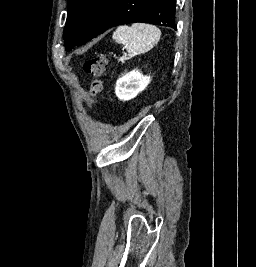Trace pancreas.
Segmentation results:
<instances>
[{"instance_id": "obj_1", "label": "pancreas", "mask_w": 256, "mask_h": 267, "mask_svg": "<svg viewBox=\"0 0 256 267\" xmlns=\"http://www.w3.org/2000/svg\"><path fill=\"white\" fill-rule=\"evenodd\" d=\"M126 60H129V58H126V54H124V56H121V58H119L118 62H121V64H125Z\"/></svg>"}]
</instances>
